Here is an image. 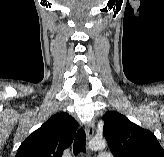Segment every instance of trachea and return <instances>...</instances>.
<instances>
[{
	"label": "trachea",
	"mask_w": 164,
	"mask_h": 157,
	"mask_svg": "<svg viewBox=\"0 0 164 157\" xmlns=\"http://www.w3.org/2000/svg\"><path fill=\"white\" fill-rule=\"evenodd\" d=\"M85 144H86V134L83 128H80L77 132L74 146H73V153L77 155L80 152H85Z\"/></svg>",
	"instance_id": "3493384b"
}]
</instances>
